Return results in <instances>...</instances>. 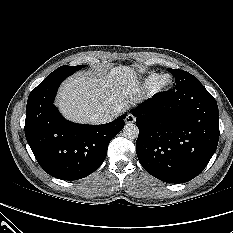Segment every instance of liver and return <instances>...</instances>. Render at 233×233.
<instances>
[{
    "instance_id": "1",
    "label": "liver",
    "mask_w": 233,
    "mask_h": 233,
    "mask_svg": "<svg viewBox=\"0 0 233 233\" xmlns=\"http://www.w3.org/2000/svg\"><path fill=\"white\" fill-rule=\"evenodd\" d=\"M143 98L135 70L118 66L102 75L76 73L60 87L56 105L67 119L93 123V115L103 113L116 118Z\"/></svg>"
}]
</instances>
